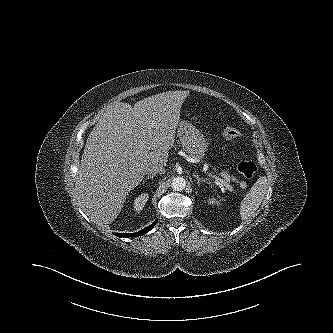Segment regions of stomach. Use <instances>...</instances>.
I'll use <instances>...</instances> for the list:
<instances>
[{"label": "stomach", "mask_w": 333, "mask_h": 333, "mask_svg": "<svg viewBox=\"0 0 333 333\" xmlns=\"http://www.w3.org/2000/svg\"><path fill=\"white\" fill-rule=\"evenodd\" d=\"M177 135L183 149L196 160H202L205 156L207 144L203 134L194 125L186 120L179 122Z\"/></svg>", "instance_id": "obj_1"}]
</instances>
